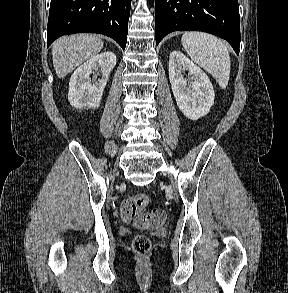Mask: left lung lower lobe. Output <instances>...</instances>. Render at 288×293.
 Masks as SVG:
<instances>
[{"label":"left lung lower lobe","mask_w":288,"mask_h":293,"mask_svg":"<svg viewBox=\"0 0 288 293\" xmlns=\"http://www.w3.org/2000/svg\"><path fill=\"white\" fill-rule=\"evenodd\" d=\"M173 31H202L227 40L239 54L238 0H156V44Z\"/></svg>","instance_id":"0a47b994"}]
</instances>
